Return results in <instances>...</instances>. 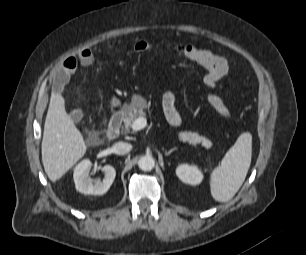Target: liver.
<instances>
[{
    "label": "liver",
    "mask_w": 306,
    "mask_h": 255,
    "mask_svg": "<svg viewBox=\"0 0 306 255\" xmlns=\"http://www.w3.org/2000/svg\"><path fill=\"white\" fill-rule=\"evenodd\" d=\"M60 93H52L42 139V163L52 182L59 180L86 153L83 135L65 110Z\"/></svg>",
    "instance_id": "obj_1"
}]
</instances>
